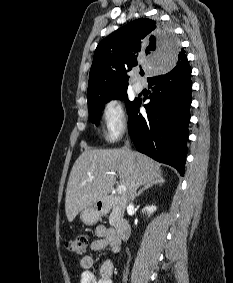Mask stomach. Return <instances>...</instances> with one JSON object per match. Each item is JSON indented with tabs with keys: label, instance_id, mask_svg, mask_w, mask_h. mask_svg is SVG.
I'll list each match as a JSON object with an SVG mask.
<instances>
[{
	"label": "stomach",
	"instance_id": "0dacf381",
	"mask_svg": "<svg viewBox=\"0 0 233 283\" xmlns=\"http://www.w3.org/2000/svg\"><path fill=\"white\" fill-rule=\"evenodd\" d=\"M101 214L102 212L95 205H92L81 211L80 218L85 224L93 225L98 221Z\"/></svg>",
	"mask_w": 233,
	"mask_h": 283
}]
</instances>
